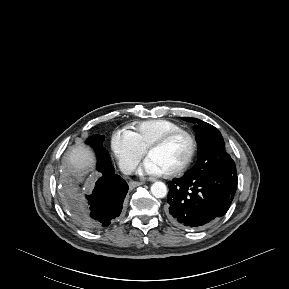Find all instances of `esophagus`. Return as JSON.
Instances as JSON below:
<instances>
[{"instance_id": "esophagus-1", "label": "esophagus", "mask_w": 289, "mask_h": 289, "mask_svg": "<svg viewBox=\"0 0 289 289\" xmlns=\"http://www.w3.org/2000/svg\"><path fill=\"white\" fill-rule=\"evenodd\" d=\"M139 185H142V182H138V181H130V182H129V187H130L131 189H133V188H135V187H137V186H139Z\"/></svg>"}]
</instances>
